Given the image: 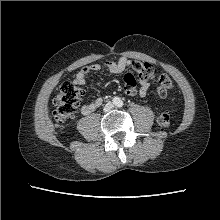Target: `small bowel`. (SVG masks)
Segmentation results:
<instances>
[{"label": "small bowel", "instance_id": "obj_1", "mask_svg": "<svg viewBox=\"0 0 220 220\" xmlns=\"http://www.w3.org/2000/svg\"><path fill=\"white\" fill-rule=\"evenodd\" d=\"M130 64V61L127 58L121 57L117 61H108L106 62V68L109 72L113 74H119L123 72L127 66ZM101 69L99 64H93L87 67L82 68L75 76L73 82L78 86H83L86 84V81L92 72H97ZM150 84L145 79L139 80V89L137 88H129L125 87V92L129 96H133L135 94H139L141 97L147 95ZM103 103L102 98H96L95 100L83 104L81 108V112L84 115H88L94 111H96Z\"/></svg>", "mask_w": 220, "mask_h": 220}]
</instances>
